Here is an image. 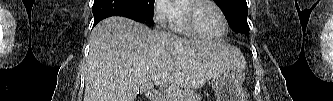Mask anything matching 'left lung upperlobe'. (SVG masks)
I'll return each mask as SVG.
<instances>
[{
    "instance_id": "1",
    "label": "left lung upper lobe",
    "mask_w": 333,
    "mask_h": 101,
    "mask_svg": "<svg viewBox=\"0 0 333 101\" xmlns=\"http://www.w3.org/2000/svg\"><path fill=\"white\" fill-rule=\"evenodd\" d=\"M224 11L227 21L236 33L248 35V8L246 0H214Z\"/></svg>"
}]
</instances>
